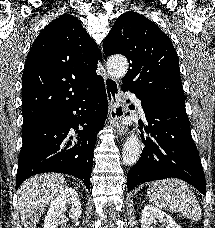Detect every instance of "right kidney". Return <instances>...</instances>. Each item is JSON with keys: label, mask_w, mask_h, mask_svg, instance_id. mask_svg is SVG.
<instances>
[{"label": "right kidney", "mask_w": 215, "mask_h": 228, "mask_svg": "<svg viewBox=\"0 0 215 228\" xmlns=\"http://www.w3.org/2000/svg\"><path fill=\"white\" fill-rule=\"evenodd\" d=\"M67 210H69V218L71 220H75V218L81 216L82 208L80 200L76 190H73V188H65L51 202L45 216L44 228H58V226L67 222L68 218L63 214Z\"/></svg>", "instance_id": "right-kidney-1"}]
</instances>
